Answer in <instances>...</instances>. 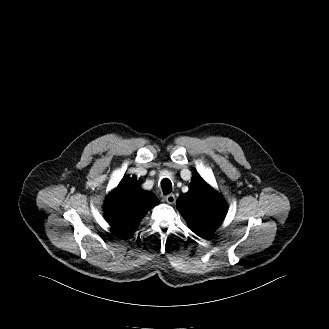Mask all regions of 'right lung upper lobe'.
<instances>
[{
	"mask_svg": "<svg viewBox=\"0 0 329 329\" xmlns=\"http://www.w3.org/2000/svg\"><path fill=\"white\" fill-rule=\"evenodd\" d=\"M140 183L134 176H126L107 197L106 220L122 235L130 236L148 210L158 204L154 194L142 190Z\"/></svg>",
	"mask_w": 329,
	"mask_h": 329,
	"instance_id": "obj_1",
	"label": "right lung upper lobe"
}]
</instances>
